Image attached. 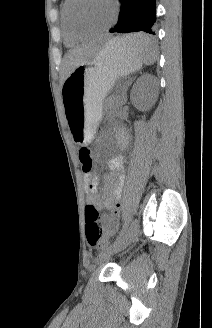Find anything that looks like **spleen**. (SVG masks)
<instances>
[{"instance_id":"1","label":"spleen","mask_w":212,"mask_h":328,"mask_svg":"<svg viewBox=\"0 0 212 328\" xmlns=\"http://www.w3.org/2000/svg\"><path fill=\"white\" fill-rule=\"evenodd\" d=\"M146 36L144 34L138 33L133 35H128L126 37H116L114 38L118 45H123L125 48L134 51H144V63L147 65H151L155 61L156 57V48L155 47H146V48H130V44L138 42L140 40L145 39Z\"/></svg>"}]
</instances>
